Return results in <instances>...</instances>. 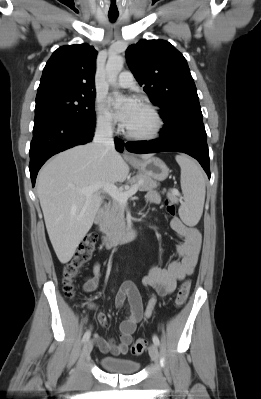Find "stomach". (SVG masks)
Wrapping results in <instances>:
<instances>
[{"label": "stomach", "instance_id": "0dacf381", "mask_svg": "<svg viewBox=\"0 0 261 399\" xmlns=\"http://www.w3.org/2000/svg\"><path fill=\"white\" fill-rule=\"evenodd\" d=\"M131 164L142 174L158 181L165 180L169 174V168L167 165L157 157L133 160Z\"/></svg>", "mask_w": 261, "mask_h": 399}]
</instances>
